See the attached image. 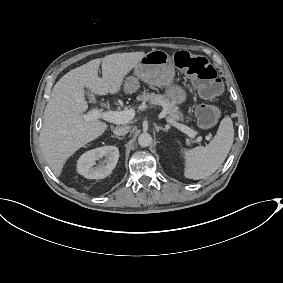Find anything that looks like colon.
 I'll use <instances>...</instances> for the list:
<instances>
[{
	"mask_svg": "<svg viewBox=\"0 0 283 283\" xmlns=\"http://www.w3.org/2000/svg\"><path fill=\"white\" fill-rule=\"evenodd\" d=\"M172 59L175 65L192 78L200 95L207 101L214 100L221 91V82L217 77L215 68L209 61L199 55L187 51H177ZM219 117V109L216 105L205 103L197 109V119L203 128H211Z\"/></svg>",
	"mask_w": 283,
	"mask_h": 283,
	"instance_id": "1",
	"label": "colon"
}]
</instances>
